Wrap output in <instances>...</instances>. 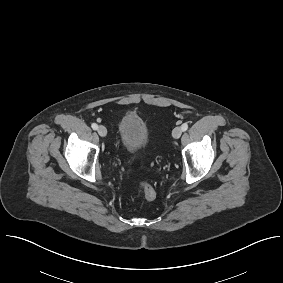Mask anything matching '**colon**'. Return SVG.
<instances>
[{
	"instance_id": "colon-1",
	"label": "colon",
	"mask_w": 283,
	"mask_h": 283,
	"mask_svg": "<svg viewBox=\"0 0 283 283\" xmlns=\"http://www.w3.org/2000/svg\"><path fill=\"white\" fill-rule=\"evenodd\" d=\"M138 188L142 194V196L146 199V200H154L156 198V190L154 188V186L148 182L147 180H142L139 182L138 184Z\"/></svg>"
}]
</instances>
